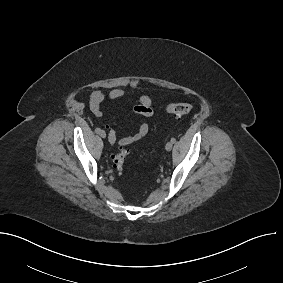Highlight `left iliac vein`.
Returning <instances> with one entry per match:
<instances>
[{"mask_svg": "<svg viewBox=\"0 0 283 283\" xmlns=\"http://www.w3.org/2000/svg\"><path fill=\"white\" fill-rule=\"evenodd\" d=\"M172 147H173V143L170 141V142H168V143L166 144L165 149H166L167 151H170V150L172 149Z\"/></svg>", "mask_w": 283, "mask_h": 283, "instance_id": "4c4485c4", "label": "left iliac vein"}]
</instances>
